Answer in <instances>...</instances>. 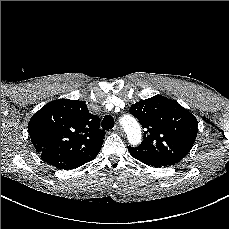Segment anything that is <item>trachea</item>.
I'll use <instances>...</instances> for the list:
<instances>
[{
	"mask_svg": "<svg viewBox=\"0 0 229 229\" xmlns=\"http://www.w3.org/2000/svg\"><path fill=\"white\" fill-rule=\"evenodd\" d=\"M102 127L104 130H111L114 127V119L111 115L104 116L102 120Z\"/></svg>",
	"mask_w": 229,
	"mask_h": 229,
	"instance_id": "3493384b",
	"label": "trachea"
}]
</instances>
